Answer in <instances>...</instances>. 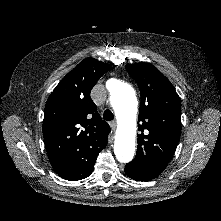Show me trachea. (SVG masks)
Masks as SVG:
<instances>
[{"label":"trachea","mask_w":221,"mask_h":221,"mask_svg":"<svg viewBox=\"0 0 221 221\" xmlns=\"http://www.w3.org/2000/svg\"><path fill=\"white\" fill-rule=\"evenodd\" d=\"M103 118L106 120V121H111L114 119V115L112 113L111 110L109 109H106L103 113Z\"/></svg>","instance_id":"obj_1"}]
</instances>
